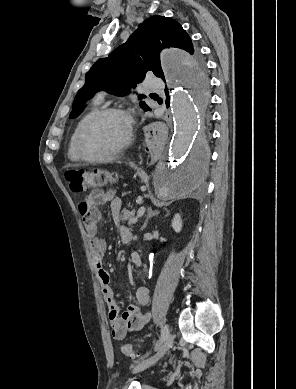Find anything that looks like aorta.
I'll return each instance as SVG.
<instances>
[{
	"label": "aorta",
	"mask_w": 296,
	"mask_h": 389,
	"mask_svg": "<svg viewBox=\"0 0 296 389\" xmlns=\"http://www.w3.org/2000/svg\"><path fill=\"white\" fill-rule=\"evenodd\" d=\"M160 63L171 90L174 135L154 192L160 199H170L201 189L204 167H209L211 146L203 134L208 112L207 74L205 67H191L190 55L180 49L164 50Z\"/></svg>",
	"instance_id": "obj_1"
}]
</instances>
